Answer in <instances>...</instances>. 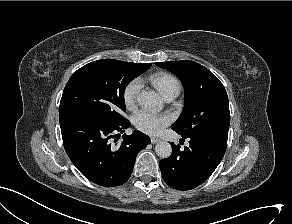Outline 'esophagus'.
Wrapping results in <instances>:
<instances>
[{"label":"esophagus","mask_w":292,"mask_h":224,"mask_svg":"<svg viewBox=\"0 0 292 224\" xmlns=\"http://www.w3.org/2000/svg\"><path fill=\"white\" fill-rule=\"evenodd\" d=\"M160 141H161V139L158 138V137H155V136H152V137H151V142H152L153 144L158 143V142H160Z\"/></svg>","instance_id":"34e87169"}]
</instances>
